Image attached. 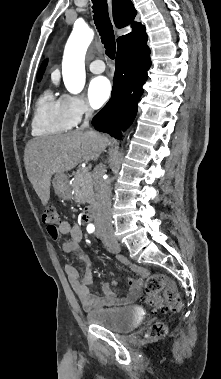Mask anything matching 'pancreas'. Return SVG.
<instances>
[{
	"mask_svg": "<svg viewBox=\"0 0 221 379\" xmlns=\"http://www.w3.org/2000/svg\"><path fill=\"white\" fill-rule=\"evenodd\" d=\"M71 189L74 191V199L80 203L94 199L92 175L88 169L81 168L74 174Z\"/></svg>",
	"mask_w": 221,
	"mask_h": 379,
	"instance_id": "pancreas-1",
	"label": "pancreas"
}]
</instances>
